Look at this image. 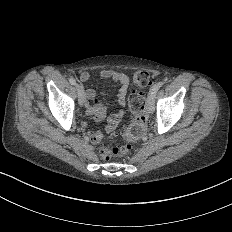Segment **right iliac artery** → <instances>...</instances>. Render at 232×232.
<instances>
[{"label":"right iliac artery","instance_id":"obj_1","mask_svg":"<svg viewBox=\"0 0 232 232\" xmlns=\"http://www.w3.org/2000/svg\"><path fill=\"white\" fill-rule=\"evenodd\" d=\"M69 82L72 84V85H77V82L74 78H70L69 79Z\"/></svg>","mask_w":232,"mask_h":232}]
</instances>
